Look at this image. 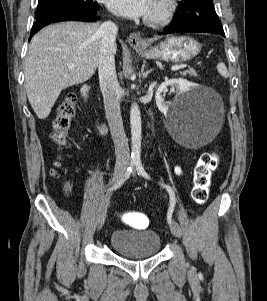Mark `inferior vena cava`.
Listing matches in <instances>:
<instances>
[{
  "label": "inferior vena cava",
  "instance_id": "602c4592",
  "mask_svg": "<svg viewBox=\"0 0 267 301\" xmlns=\"http://www.w3.org/2000/svg\"><path fill=\"white\" fill-rule=\"evenodd\" d=\"M98 32L101 36L98 60L99 83L106 118L115 146L116 162L127 164L130 160V153L120 111L121 88L115 71L113 50L118 28L113 22L106 21L100 25Z\"/></svg>",
  "mask_w": 267,
  "mask_h": 301
}]
</instances>
